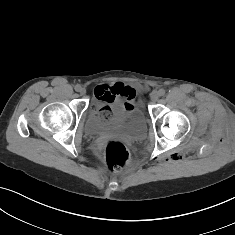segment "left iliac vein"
<instances>
[{"mask_svg": "<svg viewBox=\"0 0 235 235\" xmlns=\"http://www.w3.org/2000/svg\"><path fill=\"white\" fill-rule=\"evenodd\" d=\"M158 98H159V93L157 91H153L151 93V100H152V102H156L158 100Z\"/></svg>", "mask_w": 235, "mask_h": 235, "instance_id": "4c4485c4", "label": "left iliac vein"}]
</instances>
